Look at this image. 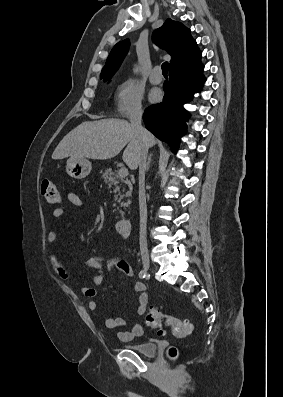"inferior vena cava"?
I'll return each mask as SVG.
<instances>
[{"mask_svg":"<svg viewBox=\"0 0 283 397\" xmlns=\"http://www.w3.org/2000/svg\"><path fill=\"white\" fill-rule=\"evenodd\" d=\"M132 128L137 137L142 141L143 148L139 157V210H140V248L147 249L146 228H147V204L144 188L145 171L147 169L146 159L149 149V134L142 126V109L137 106L133 109L129 117Z\"/></svg>","mask_w":283,"mask_h":397,"instance_id":"inferior-vena-cava-1","label":"inferior vena cava"}]
</instances>
